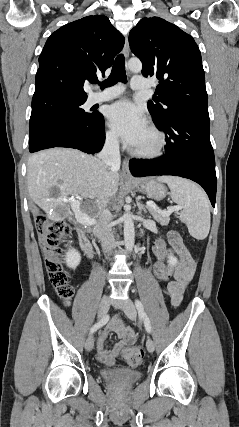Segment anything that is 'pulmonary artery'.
Here are the masks:
<instances>
[{
    "label": "pulmonary artery",
    "instance_id": "pulmonary-artery-1",
    "mask_svg": "<svg viewBox=\"0 0 239 427\" xmlns=\"http://www.w3.org/2000/svg\"><path fill=\"white\" fill-rule=\"evenodd\" d=\"M131 88L136 91H145L150 88V84L148 81L142 76H134L131 82ZM124 91V87L122 85H115L113 87L107 88L102 92L95 93L91 95L88 99V103L90 105L105 102L111 99L118 97Z\"/></svg>",
    "mask_w": 239,
    "mask_h": 427
}]
</instances>
